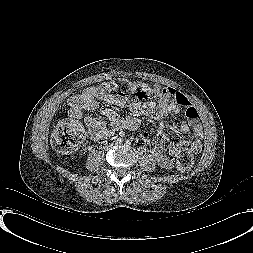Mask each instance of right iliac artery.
I'll return each instance as SVG.
<instances>
[{"label":"right iliac artery","instance_id":"1","mask_svg":"<svg viewBox=\"0 0 253 253\" xmlns=\"http://www.w3.org/2000/svg\"><path fill=\"white\" fill-rule=\"evenodd\" d=\"M117 141L122 142V138H121V137H119V138L117 139Z\"/></svg>","mask_w":253,"mask_h":253}]
</instances>
